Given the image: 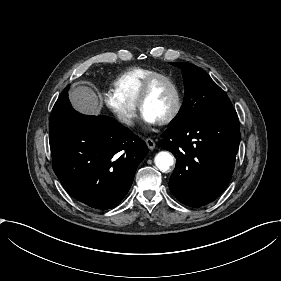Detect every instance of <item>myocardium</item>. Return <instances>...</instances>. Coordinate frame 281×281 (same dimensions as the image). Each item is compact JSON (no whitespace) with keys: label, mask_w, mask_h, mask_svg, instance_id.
I'll return each instance as SVG.
<instances>
[{"label":"myocardium","mask_w":281,"mask_h":281,"mask_svg":"<svg viewBox=\"0 0 281 281\" xmlns=\"http://www.w3.org/2000/svg\"><path fill=\"white\" fill-rule=\"evenodd\" d=\"M160 83L169 84L172 87L174 94H175V103H174L172 111L164 120L159 122L160 125L164 126V125H168V124L172 123L178 117V115L182 109V92H181L180 86L172 77H170L166 74H161V75H156V76L150 78L144 85V88L142 89V92L137 101V106H138V109L140 110V112L142 113L144 103L150 97V95L152 94L155 87L157 85H159Z\"/></svg>","instance_id":"f54148a6"}]
</instances>
